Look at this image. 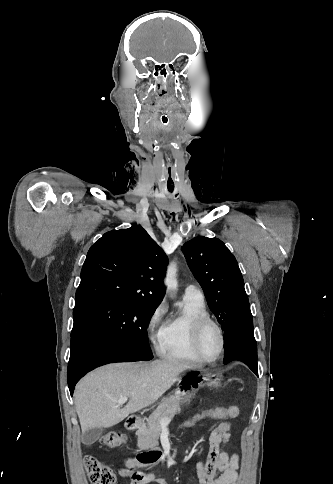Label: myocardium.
<instances>
[{
    "label": "myocardium",
    "mask_w": 333,
    "mask_h": 484,
    "mask_svg": "<svg viewBox=\"0 0 333 484\" xmlns=\"http://www.w3.org/2000/svg\"><path fill=\"white\" fill-rule=\"evenodd\" d=\"M208 326H213L217 330V332L219 334V338H220V349H219L218 353L216 354V356H214L212 358L207 357L203 353L202 348H201V338H202L204 330ZM225 342H226V340H225L224 331L217 321H215L211 317H203V318H201V319H199L195 322L193 329H192V344H193V348H194L196 354L204 362H207V363L215 362L219 358H221V356L223 355L224 350H225Z\"/></svg>",
    "instance_id": "myocardium-1"
}]
</instances>
